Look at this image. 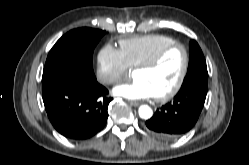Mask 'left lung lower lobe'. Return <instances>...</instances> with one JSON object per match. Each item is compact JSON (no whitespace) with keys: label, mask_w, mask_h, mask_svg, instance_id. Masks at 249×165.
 <instances>
[{"label":"left lung lower lobe","mask_w":249,"mask_h":165,"mask_svg":"<svg viewBox=\"0 0 249 165\" xmlns=\"http://www.w3.org/2000/svg\"><path fill=\"white\" fill-rule=\"evenodd\" d=\"M207 94V82L193 81L181 87L172 101L146 121L157 137L171 140L187 133L197 122Z\"/></svg>","instance_id":"obj_1"}]
</instances>
